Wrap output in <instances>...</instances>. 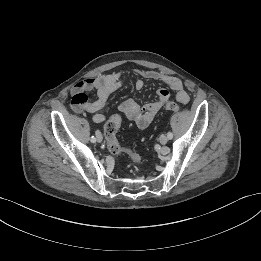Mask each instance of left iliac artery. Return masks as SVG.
Segmentation results:
<instances>
[{
  "mask_svg": "<svg viewBox=\"0 0 261 261\" xmlns=\"http://www.w3.org/2000/svg\"><path fill=\"white\" fill-rule=\"evenodd\" d=\"M167 137H168V139H172L173 138V134L171 132H168L167 133Z\"/></svg>",
  "mask_w": 261,
  "mask_h": 261,
  "instance_id": "1",
  "label": "left iliac artery"
}]
</instances>
